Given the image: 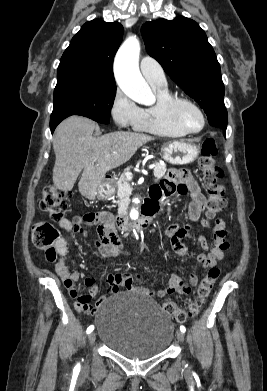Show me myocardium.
<instances>
[{
	"label": "myocardium",
	"instance_id": "myocardium-1",
	"mask_svg": "<svg viewBox=\"0 0 267 391\" xmlns=\"http://www.w3.org/2000/svg\"><path fill=\"white\" fill-rule=\"evenodd\" d=\"M187 104L193 107L201 116L202 118V126L199 130L193 131L190 130L185 126V124L182 122L178 109L181 105ZM165 110L169 118L184 132L187 134H198L202 132L207 124L206 115L203 111V109L192 99L185 97V96H172L166 103H165Z\"/></svg>",
	"mask_w": 267,
	"mask_h": 391
}]
</instances>
